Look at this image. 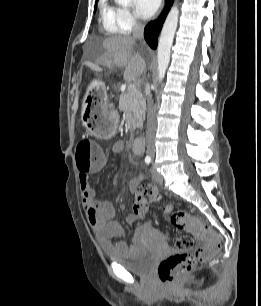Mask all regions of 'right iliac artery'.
Returning <instances> with one entry per match:
<instances>
[{"instance_id": "1", "label": "right iliac artery", "mask_w": 261, "mask_h": 306, "mask_svg": "<svg viewBox=\"0 0 261 306\" xmlns=\"http://www.w3.org/2000/svg\"><path fill=\"white\" fill-rule=\"evenodd\" d=\"M151 162V157L150 156H146L145 157V163L149 164Z\"/></svg>"}]
</instances>
